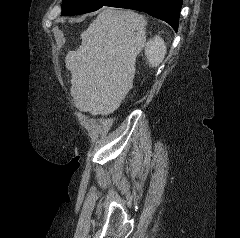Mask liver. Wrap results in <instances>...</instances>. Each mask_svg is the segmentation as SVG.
I'll return each instance as SVG.
<instances>
[{"label":"liver","mask_w":240,"mask_h":238,"mask_svg":"<svg viewBox=\"0 0 240 238\" xmlns=\"http://www.w3.org/2000/svg\"><path fill=\"white\" fill-rule=\"evenodd\" d=\"M147 21L129 10L104 7L66 56L70 93L80 111L109 115L133 87L136 57L146 43Z\"/></svg>","instance_id":"6515ba94"}]
</instances>
